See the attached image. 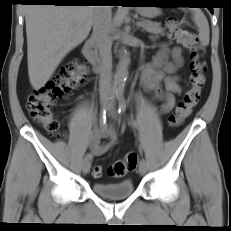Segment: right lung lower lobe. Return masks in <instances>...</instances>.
<instances>
[{
	"label": "right lung lower lobe",
	"mask_w": 231,
	"mask_h": 231,
	"mask_svg": "<svg viewBox=\"0 0 231 231\" xmlns=\"http://www.w3.org/2000/svg\"><path fill=\"white\" fill-rule=\"evenodd\" d=\"M79 1L80 0H22V2L26 3H49L54 5H83Z\"/></svg>",
	"instance_id": "obj_1"
}]
</instances>
